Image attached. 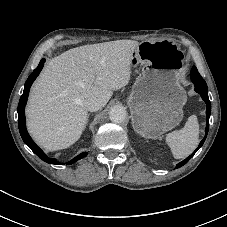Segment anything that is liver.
Here are the masks:
<instances>
[{"mask_svg":"<svg viewBox=\"0 0 227 227\" xmlns=\"http://www.w3.org/2000/svg\"><path fill=\"white\" fill-rule=\"evenodd\" d=\"M138 41L116 40L84 45L50 60L35 81L26 107L27 128L48 151L68 148L81 136L88 110L97 97L104 106L114 90L129 83Z\"/></svg>","mask_w":227,"mask_h":227,"instance_id":"liver-1","label":"liver"}]
</instances>
